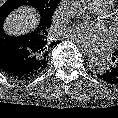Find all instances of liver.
<instances>
[{"label":"liver","instance_id":"1","mask_svg":"<svg viewBox=\"0 0 118 118\" xmlns=\"http://www.w3.org/2000/svg\"><path fill=\"white\" fill-rule=\"evenodd\" d=\"M38 22L34 9L22 7L10 14L5 22V30L9 34L19 35L31 31Z\"/></svg>","mask_w":118,"mask_h":118}]
</instances>
